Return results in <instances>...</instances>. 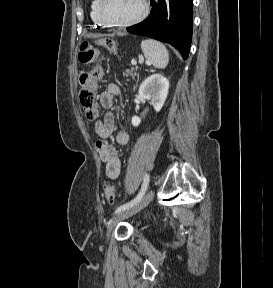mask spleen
I'll return each mask as SVG.
<instances>
[{
  "mask_svg": "<svg viewBox=\"0 0 273 288\" xmlns=\"http://www.w3.org/2000/svg\"><path fill=\"white\" fill-rule=\"evenodd\" d=\"M144 56L156 68H165L169 62V52L166 47L155 40L147 39L141 42Z\"/></svg>",
  "mask_w": 273,
  "mask_h": 288,
  "instance_id": "1",
  "label": "spleen"
}]
</instances>
